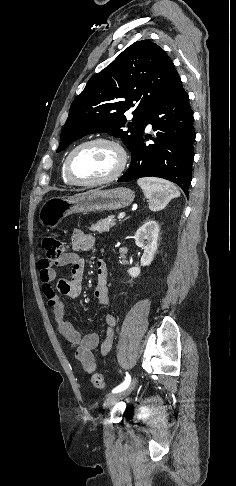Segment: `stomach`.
Segmentation results:
<instances>
[{
	"label": "stomach",
	"instance_id": "obj_1",
	"mask_svg": "<svg viewBox=\"0 0 236 486\" xmlns=\"http://www.w3.org/2000/svg\"><path fill=\"white\" fill-rule=\"evenodd\" d=\"M134 192L126 187L92 190L72 197H52L39 211V221L46 228H55L65 217L74 213L112 211L129 206Z\"/></svg>",
	"mask_w": 236,
	"mask_h": 486
}]
</instances>
